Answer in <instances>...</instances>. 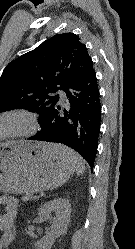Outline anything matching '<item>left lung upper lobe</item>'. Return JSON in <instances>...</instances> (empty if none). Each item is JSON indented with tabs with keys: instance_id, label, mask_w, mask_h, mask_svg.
Masks as SVG:
<instances>
[{
	"instance_id": "1",
	"label": "left lung upper lobe",
	"mask_w": 135,
	"mask_h": 249,
	"mask_svg": "<svg viewBox=\"0 0 135 249\" xmlns=\"http://www.w3.org/2000/svg\"><path fill=\"white\" fill-rule=\"evenodd\" d=\"M91 66L77 35H54L6 66L0 77V112L26 108L38 113L42 122L59 99L55 93L83 77Z\"/></svg>"
}]
</instances>
